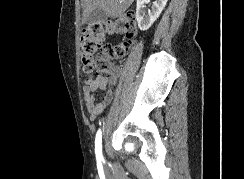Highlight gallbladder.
I'll return each instance as SVG.
<instances>
[{
    "label": "gallbladder",
    "mask_w": 244,
    "mask_h": 179,
    "mask_svg": "<svg viewBox=\"0 0 244 179\" xmlns=\"http://www.w3.org/2000/svg\"><path fill=\"white\" fill-rule=\"evenodd\" d=\"M105 20H107L106 12L95 8V10H92L91 14H89L87 24H89V26H91V24H102V22H105Z\"/></svg>",
    "instance_id": "gallbladder-1"
}]
</instances>
